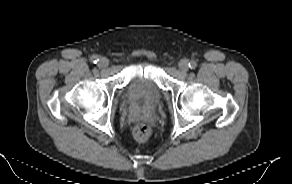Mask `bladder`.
Returning <instances> with one entry per match:
<instances>
[{
	"instance_id": "obj_1",
	"label": "bladder",
	"mask_w": 292,
	"mask_h": 184,
	"mask_svg": "<svg viewBox=\"0 0 292 184\" xmlns=\"http://www.w3.org/2000/svg\"><path fill=\"white\" fill-rule=\"evenodd\" d=\"M163 95L152 72L134 75L124 89L125 100L130 105L153 107L159 103Z\"/></svg>"
}]
</instances>
